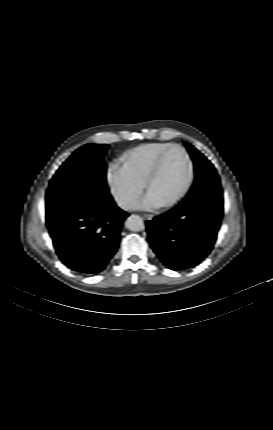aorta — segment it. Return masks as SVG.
I'll return each instance as SVG.
<instances>
[{
    "label": "aorta",
    "instance_id": "1",
    "mask_svg": "<svg viewBox=\"0 0 273 430\" xmlns=\"http://www.w3.org/2000/svg\"><path fill=\"white\" fill-rule=\"evenodd\" d=\"M125 226L127 229L134 231V232L142 231L145 227L142 218L140 216L134 215V214L130 215L126 219Z\"/></svg>",
    "mask_w": 273,
    "mask_h": 430
}]
</instances>
